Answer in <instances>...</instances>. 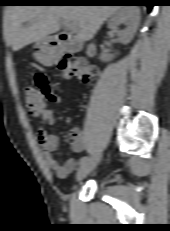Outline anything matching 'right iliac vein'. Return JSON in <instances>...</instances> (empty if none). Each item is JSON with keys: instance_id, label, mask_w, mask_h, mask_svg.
I'll return each mask as SVG.
<instances>
[{"instance_id": "63e3f726", "label": "right iliac vein", "mask_w": 170, "mask_h": 231, "mask_svg": "<svg viewBox=\"0 0 170 231\" xmlns=\"http://www.w3.org/2000/svg\"><path fill=\"white\" fill-rule=\"evenodd\" d=\"M101 160V155L97 154L88 160L85 164L81 165L76 174V181L80 182L86 178L98 165Z\"/></svg>"}]
</instances>
